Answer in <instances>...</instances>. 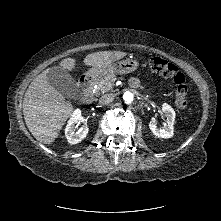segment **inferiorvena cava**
I'll use <instances>...</instances> for the list:
<instances>
[{
    "label": "inferior vena cava",
    "instance_id": "obj_1",
    "mask_svg": "<svg viewBox=\"0 0 221 221\" xmlns=\"http://www.w3.org/2000/svg\"><path fill=\"white\" fill-rule=\"evenodd\" d=\"M114 100V95L113 94H105L100 97L99 103L102 105H106L111 103Z\"/></svg>",
    "mask_w": 221,
    "mask_h": 221
}]
</instances>
